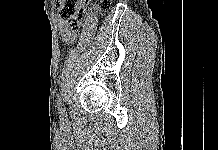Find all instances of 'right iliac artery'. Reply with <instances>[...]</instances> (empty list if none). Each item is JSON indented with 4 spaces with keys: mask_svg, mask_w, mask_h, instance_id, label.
<instances>
[{
    "mask_svg": "<svg viewBox=\"0 0 218 150\" xmlns=\"http://www.w3.org/2000/svg\"><path fill=\"white\" fill-rule=\"evenodd\" d=\"M60 106H61V103H59V111H60L61 116H64L65 110Z\"/></svg>",
    "mask_w": 218,
    "mask_h": 150,
    "instance_id": "right-iliac-artery-1",
    "label": "right iliac artery"
}]
</instances>
